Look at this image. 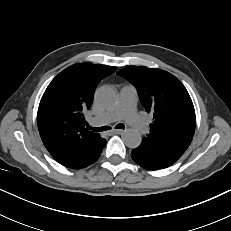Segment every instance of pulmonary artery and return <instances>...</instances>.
<instances>
[{
	"instance_id": "1",
	"label": "pulmonary artery",
	"mask_w": 231,
	"mask_h": 231,
	"mask_svg": "<svg viewBox=\"0 0 231 231\" xmlns=\"http://www.w3.org/2000/svg\"><path fill=\"white\" fill-rule=\"evenodd\" d=\"M137 90L134 86L126 85L121 88L119 101L110 111L91 119L97 125H106L124 119L137 132L147 131L145 121L136 112Z\"/></svg>"
}]
</instances>
